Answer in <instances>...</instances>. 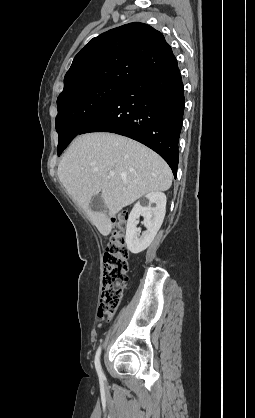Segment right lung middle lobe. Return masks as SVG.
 Returning <instances> with one entry per match:
<instances>
[{"label": "right lung middle lobe", "mask_w": 255, "mask_h": 418, "mask_svg": "<svg viewBox=\"0 0 255 418\" xmlns=\"http://www.w3.org/2000/svg\"><path fill=\"white\" fill-rule=\"evenodd\" d=\"M128 84L97 81L77 86L57 99L55 127L59 135L58 155Z\"/></svg>", "instance_id": "dd1d6c3e"}]
</instances>
